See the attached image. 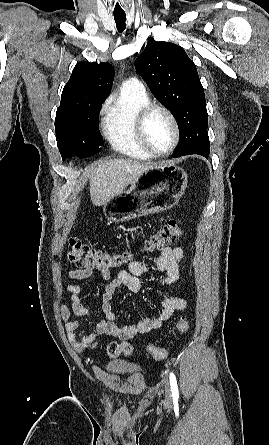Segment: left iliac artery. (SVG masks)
<instances>
[{"mask_svg":"<svg viewBox=\"0 0 269 445\" xmlns=\"http://www.w3.org/2000/svg\"><path fill=\"white\" fill-rule=\"evenodd\" d=\"M169 378H170V386H171L172 396L174 399H178L179 391H178V386H177V380H176L174 373L170 372Z\"/></svg>","mask_w":269,"mask_h":445,"instance_id":"obj_1","label":"left iliac artery"}]
</instances>
